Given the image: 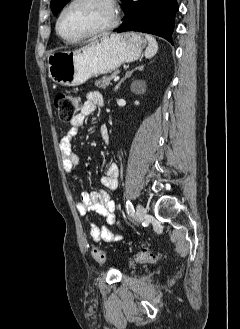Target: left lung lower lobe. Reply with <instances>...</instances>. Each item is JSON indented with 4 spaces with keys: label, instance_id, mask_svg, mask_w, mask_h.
<instances>
[{
    "label": "left lung lower lobe",
    "instance_id": "left-lung-lower-lobe-1",
    "mask_svg": "<svg viewBox=\"0 0 240 329\" xmlns=\"http://www.w3.org/2000/svg\"><path fill=\"white\" fill-rule=\"evenodd\" d=\"M124 21L117 32L139 31L161 36L172 43L176 0H144L124 2Z\"/></svg>",
    "mask_w": 240,
    "mask_h": 329
}]
</instances>
